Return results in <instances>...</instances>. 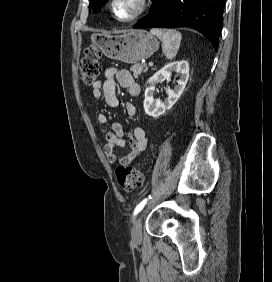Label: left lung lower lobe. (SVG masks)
<instances>
[{
	"mask_svg": "<svg viewBox=\"0 0 272 282\" xmlns=\"http://www.w3.org/2000/svg\"><path fill=\"white\" fill-rule=\"evenodd\" d=\"M224 3L225 0H152L149 14L133 28L191 27L208 38L217 50Z\"/></svg>",
	"mask_w": 272,
	"mask_h": 282,
	"instance_id": "1",
	"label": "left lung lower lobe"
}]
</instances>
